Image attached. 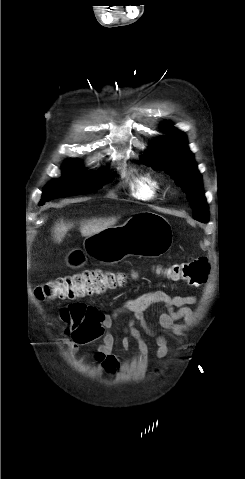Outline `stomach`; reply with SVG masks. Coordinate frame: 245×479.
<instances>
[{"label": "stomach", "instance_id": "1", "mask_svg": "<svg viewBox=\"0 0 245 479\" xmlns=\"http://www.w3.org/2000/svg\"><path fill=\"white\" fill-rule=\"evenodd\" d=\"M172 244V228L160 214L144 211L134 214L123 225L107 228L87 237L84 251L72 250L66 257L70 267H80L90 256L104 264H116L129 256L156 258Z\"/></svg>", "mask_w": 245, "mask_h": 479}]
</instances>
